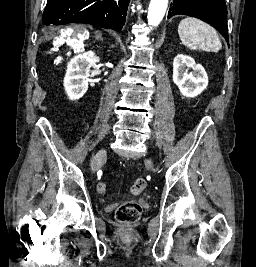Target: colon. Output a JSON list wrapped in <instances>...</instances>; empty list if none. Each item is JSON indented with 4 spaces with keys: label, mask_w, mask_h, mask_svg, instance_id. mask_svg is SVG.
Wrapping results in <instances>:
<instances>
[{
    "label": "colon",
    "mask_w": 256,
    "mask_h": 267,
    "mask_svg": "<svg viewBox=\"0 0 256 267\" xmlns=\"http://www.w3.org/2000/svg\"><path fill=\"white\" fill-rule=\"evenodd\" d=\"M147 182L144 178H138L130 189L132 195H138L145 190ZM97 191L101 194L107 192V185L105 183H99L97 185ZM142 212V207L139 203L129 201L119 206L116 211L117 224H120L121 228H131L132 224H137Z\"/></svg>",
    "instance_id": "obj_1"
}]
</instances>
